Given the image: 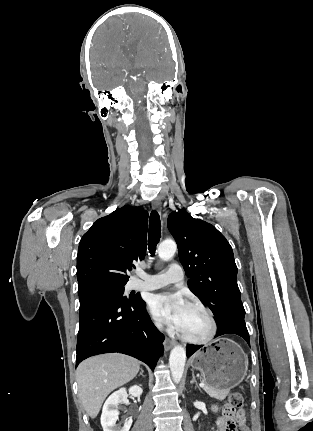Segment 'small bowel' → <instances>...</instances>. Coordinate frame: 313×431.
<instances>
[{"label": "small bowel", "mask_w": 313, "mask_h": 431, "mask_svg": "<svg viewBox=\"0 0 313 431\" xmlns=\"http://www.w3.org/2000/svg\"><path fill=\"white\" fill-rule=\"evenodd\" d=\"M230 423L234 424L235 426L238 425L241 431H250L246 424L245 411L242 409L234 412L230 418L224 415L220 416L216 421L217 431H228Z\"/></svg>", "instance_id": "small-bowel-1"}]
</instances>
